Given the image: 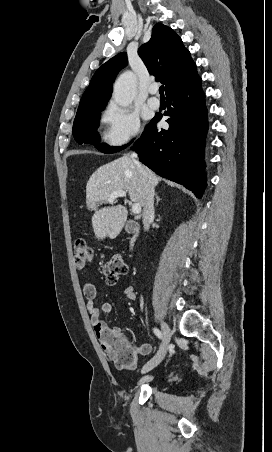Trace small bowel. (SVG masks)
Instances as JSON below:
<instances>
[{
    "label": "small bowel",
    "instance_id": "1",
    "mask_svg": "<svg viewBox=\"0 0 272 452\" xmlns=\"http://www.w3.org/2000/svg\"><path fill=\"white\" fill-rule=\"evenodd\" d=\"M83 294L86 300V308L90 315V321L94 327L96 336L100 342L103 350H105L106 339L110 336H126L119 327H109L102 320L103 315H107L112 311V304L109 302L101 303L99 306L96 305L97 301V289L92 283H86L83 286ZM124 296L135 301L137 298L136 291L134 287L128 286L124 289ZM136 348V352L139 355L147 356L151 354L153 346L151 343H143Z\"/></svg>",
    "mask_w": 272,
    "mask_h": 452
}]
</instances>
